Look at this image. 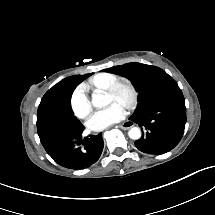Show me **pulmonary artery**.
<instances>
[{"mask_svg":"<svg viewBox=\"0 0 215 215\" xmlns=\"http://www.w3.org/2000/svg\"><path fill=\"white\" fill-rule=\"evenodd\" d=\"M114 82H115V79L113 75L106 73V74H100L93 77L91 84L93 88L100 90V89L109 88L113 86Z\"/></svg>","mask_w":215,"mask_h":215,"instance_id":"e3ab8cb5","label":"pulmonary artery"}]
</instances>
